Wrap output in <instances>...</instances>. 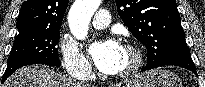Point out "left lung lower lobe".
Returning <instances> with one entry per match:
<instances>
[{"label":"left lung lower lobe","instance_id":"1","mask_svg":"<svg viewBox=\"0 0 205 87\" xmlns=\"http://www.w3.org/2000/svg\"><path fill=\"white\" fill-rule=\"evenodd\" d=\"M164 65L179 66V67L188 69V70L192 71L195 75H197L196 68H195L194 63L191 59L189 49H183V50H179V51L175 52L168 59H166L164 62H162L160 66H164ZM149 69H152V68L145 66L141 70V72L145 71V70H149Z\"/></svg>","mask_w":205,"mask_h":87}]
</instances>
